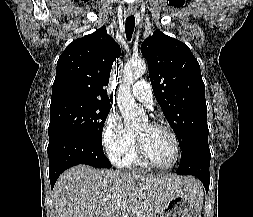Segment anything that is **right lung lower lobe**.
<instances>
[{
  "label": "right lung lower lobe",
  "mask_w": 253,
  "mask_h": 217,
  "mask_svg": "<svg viewBox=\"0 0 253 217\" xmlns=\"http://www.w3.org/2000/svg\"><path fill=\"white\" fill-rule=\"evenodd\" d=\"M47 151L51 188L54 187L59 175L69 167L78 164L100 168L111 166L103 147L79 134L65 133L49 139Z\"/></svg>",
  "instance_id": "obj_1"
}]
</instances>
